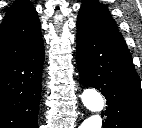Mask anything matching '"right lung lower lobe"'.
<instances>
[{"instance_id":"98d812e1","label":"right lung lower lobe","mask_w":142,"mask_h":128,"mask_svg":"<svg viewBox=\"0 0 142 128\" xmlns=\"http://www.w3.org/2000/svg\"><path fill=\"white\" fill-rule=\"evenodd\" d=\"M43 63L42 41L0 67V128H37Z\"/></svg>"}]
</instances>
